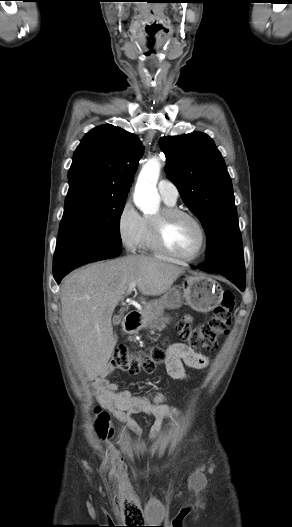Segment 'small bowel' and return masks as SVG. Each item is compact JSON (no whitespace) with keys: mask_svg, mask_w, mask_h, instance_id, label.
Wrapping results in <instances>:
<instances>
[{"mask_svg":"<svg viewBox=\"0 0 292 527\" xmlns=\"http://www.w3.org/2000/svg\"><path fill=\"white\" fill-rule=\"evenodd\" d=\"M185 322H192V318L185 317ZM208 356L193 350L186 344L174 343L166 353V369L168 374L176 380H185L188 375L185 366L194 369H204L209 365ZM113 373V367L107 366L102 372L98 385L106 391L102 402L112 411L114 416L125 423L137 435L142 434L139 424L131 417L132 414L145 413L154 418V424L149 433V441L156 439L161 431L165 419L172 420L179 411L166 403L164 394L147 392L145 395H135L129 390H119L117 382H110L108 378Z\"/></svg>","mask_w":292,"mask_h":527,"instance_id":"c3829d8e","label":"small bowel"}]
</instances>
